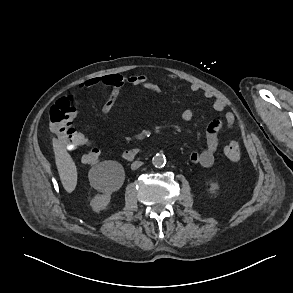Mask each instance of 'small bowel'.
Wrapping results in <instances>:
<instances>
[{
	"mask_svg": "<svg viewBox=\"0 0 293 293\" xmlns=\"http://www.w3.org/2000/svg\"><path fill=\"white\" fill-rule=\"evenodd\" d=\"M170 79H175L173 76H168ZM132 86H142L153 93H158L160 88L158 85L151 83L146 75L137 74L131 75L129 77H123L121 75L108 74L102 76H94L86 79L81 84L78 85V89L83 88H92L98 86H106L110 87L111 91L103 100L100 105L101 115L107 119L112 111L114 103L119 96L120 91L123 89L125 85ZM190 89L192 92L201 91V87L192 83L190 85ZM203 96L206 99H214L213 101V109L216 112H223L225 108V104L221 99L215 98V95L212 91L204 90ZM193 118V111L191 109H185L182 112V119L184 122H190ZM235 123V116L232 112H226L224 115V121L214 120L212 121L206 129V140H205V148L201 151H193L190 154V160L194 164H199L203 167H210L213 165L215 160V154L218 148V135L221 132H224L226 129H230L233 127Z\"/></svg>",
	"mask_w": 293,
	"mask_h": 293,
	"instance_id": "c3829d8e",
	"label": "small bowel"
}]
</instances>
